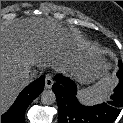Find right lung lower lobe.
Masks as SVG:
<instances>
[{
  "label": "right lung lower lobe",
  "mask_w": 123,
  "mask_h": 123,
  "mask_svg": "<svg viewBox=\"0 0 123 123\" xmlns=\"http://www.w3.org/2000/svg\"><path fill=\"white\" fill-rule=\"evenodd\" d=\"M45 76L32 82L17 97L12 107L1 116V123H25V111L29 104L40 95L44 89Z\"/></svg>",
  "instance_id": "obj_1"
}]
</instances>
